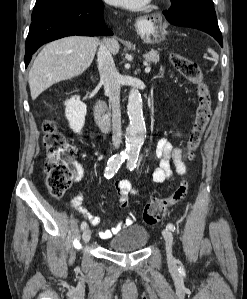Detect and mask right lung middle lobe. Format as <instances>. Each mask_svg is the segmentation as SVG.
<instances>
[{"label": "right lung middle lobe", "instance_id": "1", "mask_svg": "<svg viewBox=\"0 0 247 299\" xmlns=\"http://www.w3.org/2000/svg\"><path fill=\"white\" fill-rule=\"evenodd\" d=\"M81 1H86V0H36L33 13H32V20H35L39 16L59 6L69 4V3H77Z\"/></svg>", "mask_w": 247, "mask_h": 299}]
</instances>
